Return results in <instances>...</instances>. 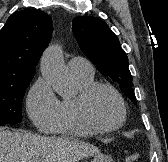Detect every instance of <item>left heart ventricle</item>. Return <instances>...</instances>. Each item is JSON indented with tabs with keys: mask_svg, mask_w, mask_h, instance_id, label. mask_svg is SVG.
<instances>
[{
	"mask_svg": "<svg viewBox=\"0 0 168 162\" xmlns=\"http://www.w3.org/2000/svg\"><path fill=\"white\" fill-rule=\"evenodd\" d=\"M89 111L93 119L104 126L117 123L121 115L116 98L105 89H99L91 96Z\"/></svg>",
	"mask_w": 168,
	"mask_h": 162,
	"instance_id": "1",
	"label": "left heart ventricle"
}]
</instances>
